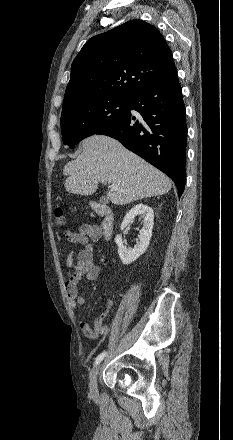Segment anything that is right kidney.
I'll list each match as a JSON object with an SVG mask.
<instances>
[{"label": "right kidney", "mask_w": 233, "mask_h": 440, "mask_svg": "<svg viewBox=\"0 0 233 440\" xmlns=\"http://www.w3.org/2000/svg\"><path fill=\"white\" fill-rule=\"evenodd\" d=\"M143 219V227L140 230V241L133 249L127 248L123 245L122 235L115 237V243L118 246V255L124 265H129L139 258L147 250L152 236V229L154 225L153 209L143 203L135 205L124 217L121 223V230L130 225L135 217Z\"/></svg>", "instance_id": "obj_1"}]
</instances>
